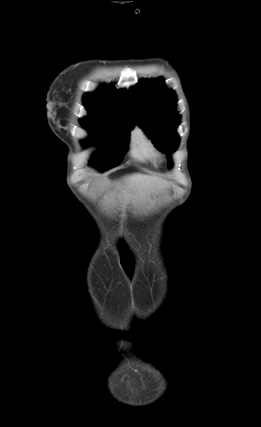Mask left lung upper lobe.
Listing matches in <instances>:
<instances>
[{
  "mask_svg": "<svg viewBox=\"0 0 261 427\" xmlns=\"http://www.w3.org/2000/svg\"><path fill=\"white\" fill-rule=\"evenodd\" d=\"M129 92L137 124L152 138L156 147L170 158L169 154L179 144L175 129L180 123V115L175 112V93L167 89L161 79H141Z\"/></svg>",
  "mask_w": 261,
  "mask_h": 427,
  "instance_id": "left-lung-upper-lobe-1",
  "label": "left lung upper lobe"
}]
</instances>
